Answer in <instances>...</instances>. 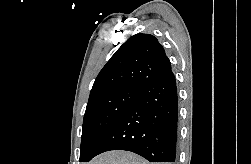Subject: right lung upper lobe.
I'll list each match as a JSON object with an SVG mask.
<instances>
[{
    "label": "right lung upper lobe",
    "instance_id": "obj_1",
    "mask_svg": "<svg viewBox=\"0 0 251 164\" xmlns=\"http://www.w3.org/2000/svg\"><path fill=\"white\" fill-rule=\"evenodd\" d=\"M171 70V63L157 38L150 34L130 37L98 74L89 100L122 88H141Z\"/></svg>",
    "mask_w": 251,
    "mask_h": 164
}]
</instances>
